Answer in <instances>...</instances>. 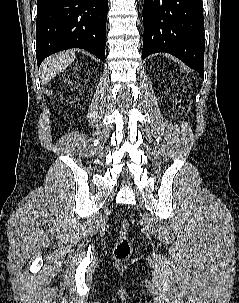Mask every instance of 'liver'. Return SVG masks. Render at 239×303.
<instances>
[{"label":"liver","mask_w":239,"mask_h":303,"mask_svg":"<svg viewBox=\"0 0 239 303\" xmlns=\"http://www.w3.org/2000/svg\"><path fill=\"white\" fill-rule=\"evenodd\" d=\"M76 58L75 51L69 50L48 57L41 67L42 83H48L52 78L70 65Z\"/></svg>","instance_id":"1"}]
</instances>
